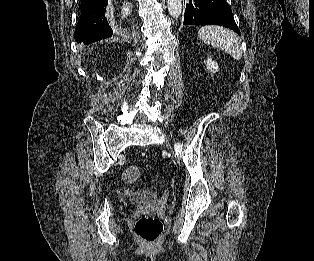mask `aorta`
Instances as JSON below:
<instances>
[{
    "label": "aorta",
    "mask_w": 314,
    "mask_h": 261,
    "mask_svg": "<svg viewBox=\"0 0 314 261\" xmlns=\"http://www.w3.org/2000/svg\"><path fill=\"white\" fill-rule=\"evenodd\" d=\"M169 14L173 18H178L182 12V0H166Z\"/></svg>",
    "instance_id": "obj_1"
}]
</instances>
